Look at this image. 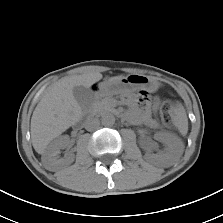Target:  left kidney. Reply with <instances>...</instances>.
<instances>
[{
	"label": "left kidney",
	"mask_w": 223,
	"mask_h": 223,
	"mask_svg": "<svg viewBox=\"0 0 223 223\" xmlns=\"http://www.w3.org/2000/svg\"><path fill=\"white\" fill-rule=\"evenodd\" d=\"M155 139L165 145L164 150L157 154L147 152L145 158L154 164L163 166H170L178 162L183 153L181 141L168 133H157L155 134Z\"/></svg>",
	"instance_id": "left-kidney-1"
}]
</instances>
